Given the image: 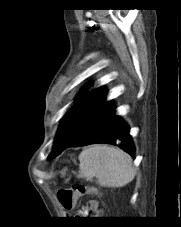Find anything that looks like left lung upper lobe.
<instances>
[{"label":"left lung upper lobe","mask_w":181,"mask_h":227,"mask_svg":"<svg viewBox=\"0 0 181 227\" xmlns=\"http://www.w3.org/2000/svg\"><path fill=\"white\" fill-rule=\"evenodd\" d=\"M104 102V90L98 88L85 94L67 112L57 132L49 160L60 154L81 133L91 116Z\"/></svg>","instance_id":"left-lung-upper-lobe-1"}]
</instances>
